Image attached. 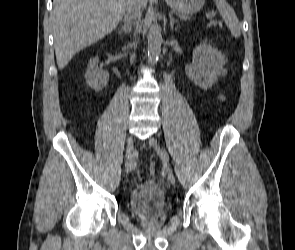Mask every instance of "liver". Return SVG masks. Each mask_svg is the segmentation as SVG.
<instances>
[{
	"label": "liver",
	"mask_w": 295,
	"mask_h": 250,
	"mask_svg": "<svg viewBox=\"0 0 295 250\" xmlns=\"http://www.w3.org/2000/svg\"><path fill=\"white\" fill-rule=\"evenodd\" d=\"M148 0H140L141 10ZM128 0H54L52 26L60 70L82 49L111 33Z\"/></svg>",
	"instance_id": "obj_1"
}]
</instances>
